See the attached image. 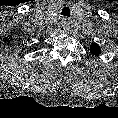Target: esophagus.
<instances>
[{
	"mask_svg": "<svg viewBox=\"0 0 118 118\" xmlns=\"http://www.w3.org/2000/svg\"><path fill=\"white\" fill-rule=\"evenodd\" d=\"M68 30V24L65 19L60 20L58 23V31L66 32Z\"/></svg>",
	"mask_w": 118,
	"mask_h": 118,
	"instance_id": "1",
	"label": "esophagus"
}]
</instances>
